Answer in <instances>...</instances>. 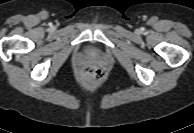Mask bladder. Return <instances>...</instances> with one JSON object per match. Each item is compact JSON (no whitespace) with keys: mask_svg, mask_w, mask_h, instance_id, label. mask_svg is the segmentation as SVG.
I'll return each instance as SVG.
<instances>
[{"mask_svg":"<svg viewBox=\"0 0 194 133\" xmlns=\"http://www.w3.org/2000/svg\"><path fill=\"white\" fill-rule=\"evenodd\" d=\"M86 50H87L88 52H90V53H96V52H97V49H96L95 47H93V46L87 47Z\"/></svg>","mask_w":194,"mask_h":133,"instance_id":"bladder-1","label":"bladder"}]
</instances>
